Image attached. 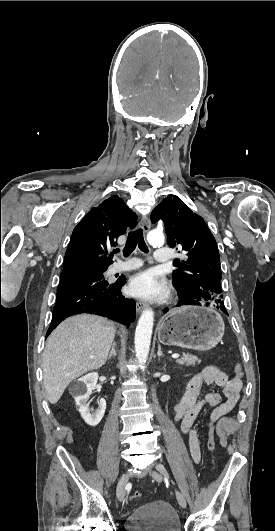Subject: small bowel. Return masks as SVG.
I'll use <instances>...</instances> for the list:
<instances>
[{
  "label": "small bowel",
  "mask_w": 275,
  "mask_h": 531,
  "mask_svg": "<svg viewBox=\"0 0 275 531\" xmlns=\"http://www.w3.org/2000/svg\"><path fill=\"white\" fill-rule=\"evenodd\" d=\"M210 386L219 387L221 393L205 391ZM241 389V379L229 378L215 366H208L191 377L182 399L174 407V416L180 423L181 432L189 438L191 457L195 463L201 459L198 439V419L201 412L206 407H213L209 419L215 418L218 422L234 409Z\"/></svg>",
  "instance_id": "obj_1"
}]
</instances>
